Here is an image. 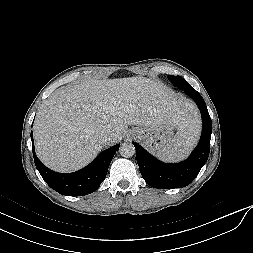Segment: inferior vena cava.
Returning a JSON list of instances; mask_svg holds the SVG:
<instances>
[{
	"label": "inferior vena cava",
	"instance_id": "1",
	"mask_svg": "<svg viewBox=\"0 0 253 253\" xmlns=\"http://www.w3.org/2000/svg\"><path fill=\"white\" fill-rule=\"evenodd\" d=\"M111 138V134L107 131L101 132L99 135V139L103 144H106Z\"/></svg>",
	"mask_w": 253,
	"mask_h": 253
}]
</instances>
